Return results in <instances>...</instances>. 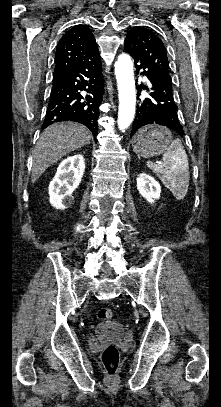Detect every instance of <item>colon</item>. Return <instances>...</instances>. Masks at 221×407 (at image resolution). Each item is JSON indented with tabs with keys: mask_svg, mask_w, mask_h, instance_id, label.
Listing matches in <instances>:
<instances>
[{
	"mask_svg": "<svg viewBox=\"0 0 221 407\" xmlns=\"http://www.w3.org/2000/svg\"><path fill=\"white\" fill-rule=\"evenodd\" d=\"M96 317L100 321H108L112 318V311L110 308L101 307L97 310ZM101 359L107 375L114 376L119 364L117 347L112 344L106 346L101 354Z\"/></svg>",
	"mask_w": 221,
	"mask_h": 407,
	"instance_id": "obj_1",
	"label": "colon"
}]
</instances>
